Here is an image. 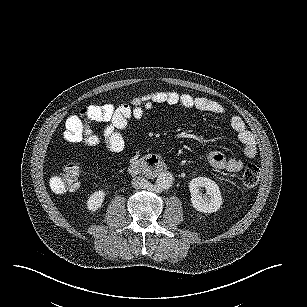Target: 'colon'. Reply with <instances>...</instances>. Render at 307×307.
Instances as JSON below:
<instances>
[{"label": "colon", "mask_w": 307, "mask_h": 307, "mask_svg": "<svg viewBox=\"0 0 307 307\" xmlns=\"http://www.w3.org/2000/svg\"><path fill=\"white\" fill-rule=\"evenodd\" d=\"M106 105L107 103H102L98 106L104 107ZM81 114L84 120L81 130V141L87 146H97L100 140L90 125V121L93 120L92 111L85 107L81 111ZM259 176L260 169L254 164H249L245 167L242 173V183L246 188H253L257 185ZM81 178V165L78 161H74L69 163L51 178L50 186L55 193L61 194L66 192H73L80 188Z\"/></svg>", "instance_id": "colon-1"}]
</instances>
